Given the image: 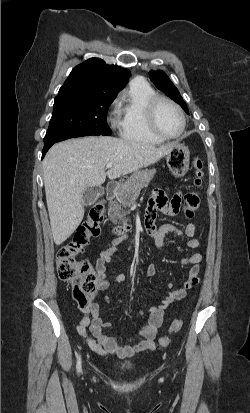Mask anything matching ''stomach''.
<instances>
[{
  "mask_svg": "<svg viewBox=\"0 0 250 413\" xmlns=\"http://www.w3.org/2000/svg\"><path fill=\"white\" fill-rule=\"evenodd\" d=\"M167 166L175 177H183L189 169V150L183 144H174L166 154Z\"/></svg>",
  "mask_w": 250,
  "mask_h": 413,
  "instance_id": "0dacf381",
  "label": "stomach"
}]
</instances>
